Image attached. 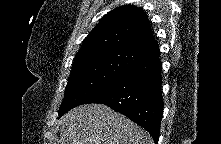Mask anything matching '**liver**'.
<instances>
[{
    "instance_id": "liver-1",
    "label": "liver",
    "mask_w": 221,
    "mask_h": 144,
    "mask_svg": "<svg viewBox=\"0 0 221 144\" xmlns=\"http://www.w3.org/2000/svg\"><path fill=\"white\" fill-rule=\"evenodd\" d=\"M59 123L62 144H154L145 130L102 104L76 107Z\"/></svg>"
}]
</instances>
